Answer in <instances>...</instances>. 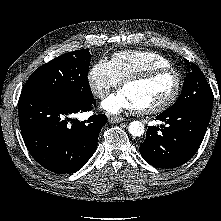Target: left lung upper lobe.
Wrapping results in <instances>:
<instances>
[{"label": "left lung upper lobe", "instance_id": "obj_1", "mask_svg": "<svg viewBox=\"0 0 221 221\" xmlns=\"http://www.w3.org/2000/svg\"><path fill=\"white\" fill-rule=\"evenodd\" d=\"M188 73L178 100L166 111L177 112L193 106L212 107L213 93L199 67L186 62Z\"/></svg>", "mask_w": 221, "mask_h": 221}]
</instances>
